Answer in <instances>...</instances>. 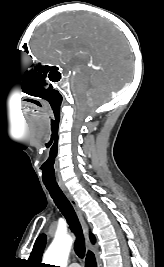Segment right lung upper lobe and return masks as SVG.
Segmentation results:
<instances>
[{
    "label": "right lung upper lobe",
    "instance_id": "1",
    "mask_svg": "<svg viewBox=\"0 0 164 267\" xmlns=\"http://www.w3.org/2000/svg\"><path fill=\"white\" fill-rule=\"evenodd\" d=\"M90 239L92 243L95 242V238L92 234H90ZM46 244V236L45 234H41L35 241L33 250L28 259V263L30 267H42L41 257ZM90 253V252H89Z\"/></svg>",
    "mask_w": 164,
    "mask_h": 267
}]
</instances>
